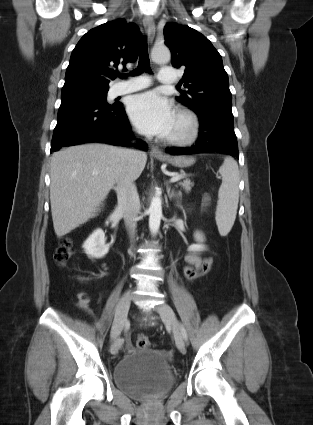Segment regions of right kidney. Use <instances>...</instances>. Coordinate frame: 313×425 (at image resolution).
<instances>
[{
	"instance_id": "right-kidney-1",
	"label": "right kidney",
	"mask_w": 313,
	"mask_h": 425,
	"mask_svg": "<svg viewBox=\"0 0 313 425\" xmlns=\"http://www.w3.org/2000/svg\"><path fill=\"white\" fill-rule=\"evenodd\" d=\"M102 229H96L84 242L83 248L87 255L93 258H101L109 251V245Z\"/></svg>"
}]
</instances>
